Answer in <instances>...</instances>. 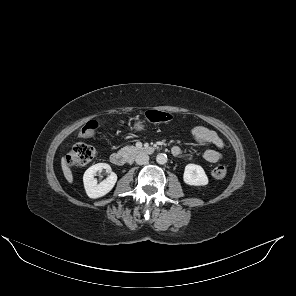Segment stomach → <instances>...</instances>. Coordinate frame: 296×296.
I'll return each instance as SVG.
<instances>
[{
  "mask_svg": "<svg viewBox=\"0 0 296 296\" xmlns=\"http://www.w3.org/2000/svg\"><path fill=\"white\" fill-rule=\"evenodd\" d=\"M135 128H136L137 130H141V129L143 128V124H142V122H137V123L135 124Z\"/></svg>",
  "mask_w": 296,
  "mask_h": 296,
  "instance_id": "1",
  "label": "stomach"
}]
</instances>
